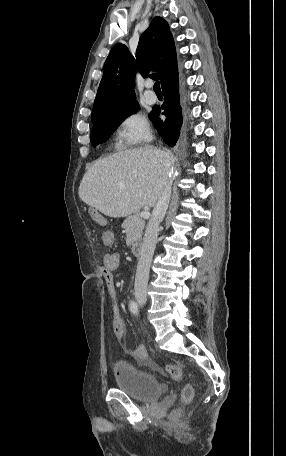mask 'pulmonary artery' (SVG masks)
<instances>
[{
	"label": "pulmonary artery",
	"instance_id": "obj_1",
	"mask_svg": "<svg viewBox=\"0 0 286 456\" xmlns=\"http://www.w3.org/2000/svg\"><path fill=\"white\" fill-rule=\"evenodd\" d=\"M152 86V83H147L146 87L148 88L145 93V101L149 104H154L157 101V96L149 89Z\"/></svg>",
	"mask_w": 286,
	"mask_h": 456
}]
</instances>
